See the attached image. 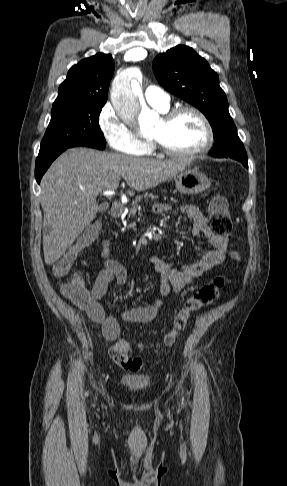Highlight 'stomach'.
<instances>
[{
    "mask_svg": "<svg viewBox=\"0 0 287 486\" xmlns=\"http://www.w3.org/2000/svg\"><path fill=\"white\" fill-rule=\"evenodd\" d=\"M191 162L182 172L175 177L176 189L184 195H196L211 185L208 177L199 169L193 167Z\"/></svg>",
    "mask_w": 287,
    "mask_h": 486,
    "instance_id": "obj_1",
    "label": "stomach"
}]
</instances>
